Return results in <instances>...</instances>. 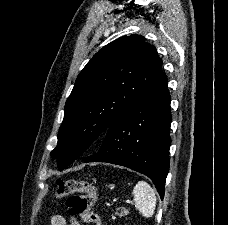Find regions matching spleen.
I'll return each mask as SVG.
<instances>
[{
  "label": "spleen",
  "instance_id": "3e777b00",
  "mask_svg": "<svg viewBox=\"0 0 228 225\" xmlns=\"http://www.w3.org/2000/svg\"><path fill=\"white\" fill-rule=\"evenodd\" d=\"M132 195H134V203L137 211L142 217H152L156 209V195L154 189L145 183V181H138L135 185Z\"/></svg>",
  "mask_w": 228,
  "mask_h": 225
}]
</instances>
